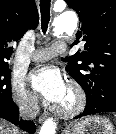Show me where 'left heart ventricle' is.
I'll list each match as a JSON object with an SVG mask.
<instances>
[{"label":"left heart ventricle","mask_w":116,"mask_h":134,"mask_svg":"<svg viewBox=\"0 0 116 134\" xmlns=\"http://www.w3.org/2000/svg\"><path fill=\"white\" fill-rule=\"evenodd\" d=\"M71 103V96L69 94V92L67 91L63 101L60 103V105H65L68 106Z\"/></svg>","instance_id":"1"}]
</instances>
